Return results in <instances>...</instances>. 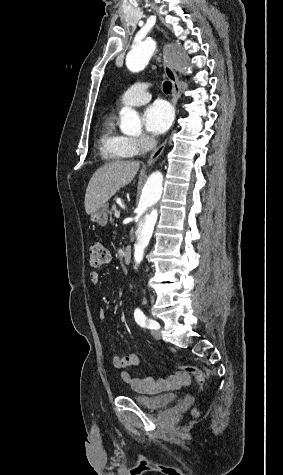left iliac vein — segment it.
<instances>
[{
	"label": "left iliac vein",
	"instance_id": "1",
	"mask_svg": "<svg viewBox=\"0 0 283 475\" xmlns=\"http://www.w3.org/2000/svg\"><path fill=\"white\" fill-rule=\"evenodd\" d=\"M151 334H152V336H153L155 339H160V338H161L160 332H159L158 330H156V329H153V330L151 331Z\"/></svg>",
	"mask_w": 283,
	"mask_h": 475
}]
</instances>
